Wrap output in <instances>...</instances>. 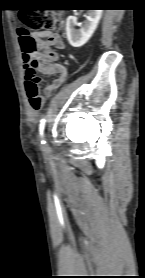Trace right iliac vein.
Returning a JSON list of instances; mask_svg holds the SVG:
<instances>
[{"label": "right iliac vein", "instance_id": "63e3f726", "mask_svg": "<svg viewBox=\"0 0 145 278\" xmlns=\"http://www.w3.org/2000/svg\"><path fill=\"white\" fill-rule=\"evenodd\" d=\"M42 138H44V136H43ZM41 150L44 151V152H46V151L49 150V146H48L47 144H43V145L41 146Z\"/></svg>", "mask_w": 145, "mask_h": 278}]
</instances>
